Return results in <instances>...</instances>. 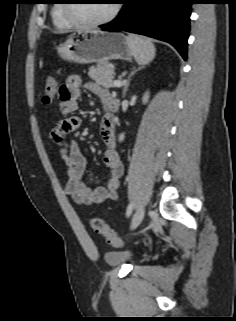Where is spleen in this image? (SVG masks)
<instances>
[{"label":"spleen","instance_id":"1","mask_svg":"<svg viewBox=\"0 0 236 321\" xmlns=\"http://www.w3.org/2000/svg\"><path fill=\"white\" fill-rule=\"evenodd\" d=\"M126 39L132 47L133 56L138 64L145 65L154 59L156 50L150 41L134 35H128Z\"/></svg>","mask_w":236,"mask_h":321}]
</instances>
